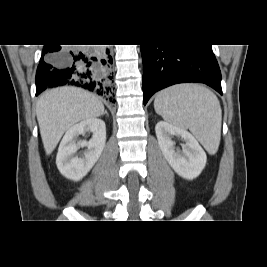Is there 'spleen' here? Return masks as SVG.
Wrapping results in <instances>:
<instances>
[{
  "mask_svg": "<svg viewBox=\"0 0 267 267\" xmlns=\"http://www.w3.org/2000/svg\"><path fill=\"white\" fill-rule=\"evenodd\" d=\"M157 114L172 125L189 129L209 154L218 150L222 110L216 95L203 85H174L157 93Z\"/></svg>",
  "mask_w": 267,
  "mask_h": 267,
  "instance_id": "spleen-1",
  "label": "spleen"
}]
</instances>
